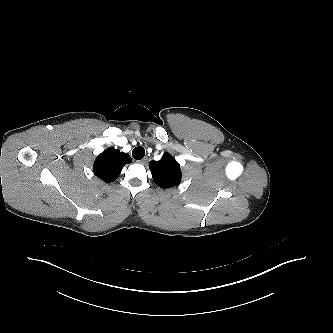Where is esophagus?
I'll use <instances>...</instances> for the list:
<instances>
[{
    "label": "esophagus",
    "instance_id": "obj_1",
    "mask_svg": "<svg viewBox=\"0 0 333 333\" xmlns=\"http://www.w3.org/2000/svg\"><path fill=\"white\" fill-rule=\"evenodd\" d=\"M147 162H148V158L147 157H144L141 160H139V163H141V164H146Z\"/></svg>",
    "mask_w": 333,
    "mask_h": 333
}]
</instances>
